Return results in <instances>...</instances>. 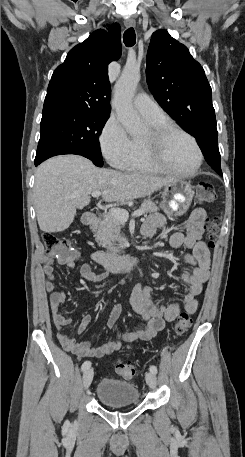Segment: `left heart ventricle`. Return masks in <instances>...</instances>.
Instances as JSON below:
<instances>
[{
	"label": "left heart ventricle",
	"instance_id": "obj_1",
	"mask_svg": "<svg viewBox=\"0 0 245 457\" xmlns=\"http://www.w3.org/2000/svg\"><path fill=\"white\" fill-rule=\"evenodd\" d=\"M148 142L150 155L154 160L169 168L189 171L196 164V154L190 140L180 133L169 136L165 144H158L149 130L141 137Z\"/></svg>",
	"mask_w": 245,
	"mask_h": 457
}]
</instances>
